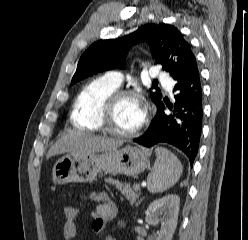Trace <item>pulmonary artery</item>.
<instances>
[{"label": "pulmonary artery", "instance_id": "1", "mask_svg": "<svg viewBox=\"0 0 248 240\" xmlns=\"http://www.w3.org/2000/svg\"><path fill=\"white\" fill-rule=\"evenodd\" d=\"M150 75L156 80L163 82L168 79L167 75L160 71L157 67H153L150 70ZM105 80L115 87H119L122 84V75L117 71H110L104 75Z\"/></svg>", "mask_w": 248, "mask_h": 240}]
</instances>
